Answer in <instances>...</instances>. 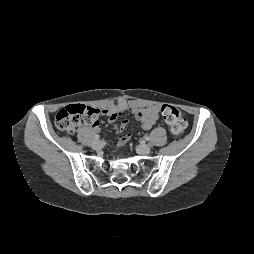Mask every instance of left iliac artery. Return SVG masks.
Instances as JSON below:
<instances>
[{"label":"left iliac artery","mask_w":254,"mask_h":254,"mask_svg":"<svg viewBox=\"0 0 254 254\" xmlns=\"http://www.w3.org/2000/svg\"><path fill=\"white\" fill-rule=\"evenodd\" d=\"M144 139L146 140V141H149V136H144Z\"/></svg>","instance_id":"44dca946"}]
</instances>
